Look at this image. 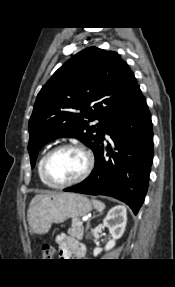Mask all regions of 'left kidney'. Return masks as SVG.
I'll return each mask as SVG.
<instances>
[{
	"label": "left kidney",
	"instance_id": "1",
	"mask_svg": "<svg viewBox=\"0 0 175 287\" xmlns=\"http://www.w3.org/2000/svg\"><path fill=\"white\" fill-rule=\"evenodd\" d=\"M127 223V211L124 206H115L109 210L106 217L103 220V225L109 229L112 239L106 244L105 250L112 249L116 240L121 238ZM102 248H95L93 255L97 256L102 252Z\"/></svg>",
	"mask_w": 175,
	"mask_h": 287
}]
</instances>
